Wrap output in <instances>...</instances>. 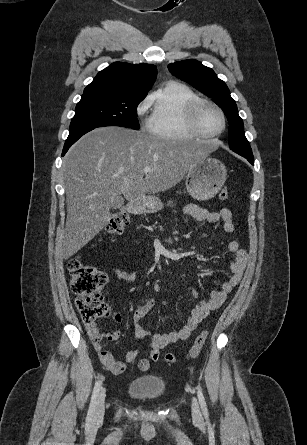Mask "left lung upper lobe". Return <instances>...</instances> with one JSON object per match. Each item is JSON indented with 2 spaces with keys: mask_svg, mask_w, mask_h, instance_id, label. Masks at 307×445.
<instances>
[{
  "mask_svg": "<svg viewBox=\"0 0 307 445\" xmlns=\"http://www.w3.org/2000/svg\"><path fill=\"white\" fill-rule=\"evenodd\" d=\"M168 69L174 76L212 98L222 108L229 122L230 149L236 153L252 154L251 147L245 137L243 121L225 82L219 79L211 68L202 65L195 59L171 63L168 65Z\"/></svg>",
  "mask_w": 307,
  "mask_h": 445,
  "instance_id": "5c2ea615",
  "label": "left lung upper lobe"
}]
</instances>
